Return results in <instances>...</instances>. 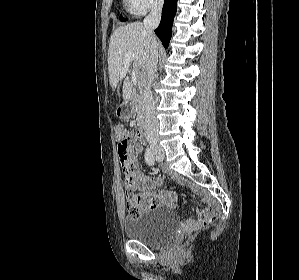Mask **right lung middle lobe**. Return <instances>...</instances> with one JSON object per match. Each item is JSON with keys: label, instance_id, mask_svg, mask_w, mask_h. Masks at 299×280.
Wrapping results in <instances>:
<instances>
[{"label": "right lung middle lobe", "instance_id": "right-lung-middle-lobe-1", "mask_svg": "<svg viewBox=\"0 0 299 280\" xmlns=\"http://www.w3.org/2000/svg\"><path fill=\"white\" fill-rule=\"evenodd\" d=\"M120 20H121V21H125L126 19H124L123 17H120Z\"/></svg>", "mask_w": 299, "mask_h": 280}]
</instances>
